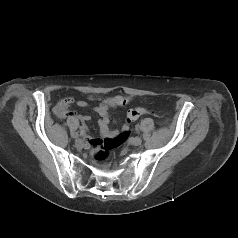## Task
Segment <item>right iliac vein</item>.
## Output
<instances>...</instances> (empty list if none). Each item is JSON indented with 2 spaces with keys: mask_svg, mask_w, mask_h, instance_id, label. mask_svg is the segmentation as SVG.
Listing matches in <instances>:
<instances>
[{
  "mask_svg": "<svg viewBox=\"0 0 238 238\" xmlns=\"http://www.w3.org/2000/svg\"><path fill=\"white\" fill-rule=\"evenodd\" d=\"M75 144L79 148L83 147V145H84V143L81 139H76Z\"/></svg>",
  "mask_w": 238,
  "mask_h": 238,
  "instance_id": "obj_1",
  "label": "right iliac vein"
}]
</instances>
